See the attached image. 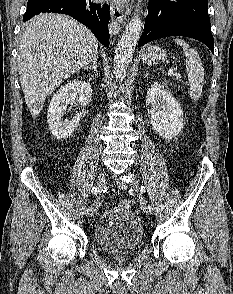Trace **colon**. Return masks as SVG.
Wrapping results in <instances>:
<instances>
[{"label": "colon", "mask_w": 233, "mask_h": 294, "mask_svg": "<svg viewBox=\"0 0 233 294\" xmlns=\"http://www.w3.org/2000/svg\"><path fill=\"white\" fill-rule=\"evenodd\" d=\"M132 201L129 199H123L120 201V207L124 209H130L132 207Z\"/></svg>", "instance_id": "1"}]
</instances>
